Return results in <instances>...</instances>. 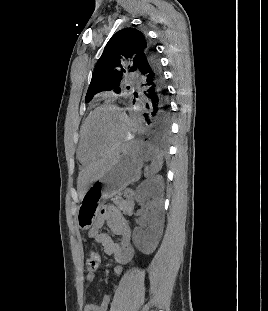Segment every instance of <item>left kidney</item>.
<instances>
[{"instance_id": "left-kidney-1", "label": "left kidney", "mask_w": 268, "mask_h": 311, "mask_svg": "<svg viewBox=\"0 0 268 311\" xmlns=\"http://www.w3.org/2000/svg\"><path fill=\"white\" fill-rule=\"evenodd\" d=\"M163 193L164 183L161 175L143 181L136 191V202L141 206L146 204L147 210L142 212L140 226L133 231V242L144 254L154 252L163 233ZM148 198L151 200L146 203Z\"/></svg>"}]
</instances>
